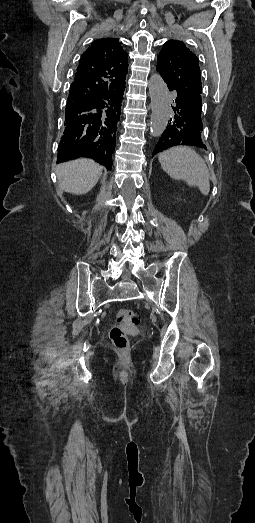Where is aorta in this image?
I'll list each match as a JSON object with an SVG mask.
<instances>
[{"label":"aorta","mask_w":255,"mask_h":523,"mask_svg":"<svg viewBox=\"0 0 255 523\" xmlns=\"http://www.w3.org/2000/svg\"><path fill=\"white\" fill-rule=\"evenodd\" d=\"M148 88L152 109L150 131L152 136L158 137L163 133L168 123L170 99L166 84L158 73L151 75Z\"/></svg>","instance_id":"1"}]
</instances>
